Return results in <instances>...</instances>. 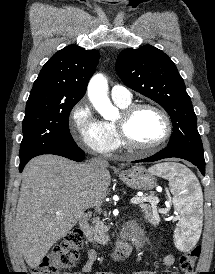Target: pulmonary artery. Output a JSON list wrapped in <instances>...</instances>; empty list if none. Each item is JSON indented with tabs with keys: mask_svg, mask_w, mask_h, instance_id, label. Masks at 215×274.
Segmentation results:
<instances>
[{
	"mask_svg": "<svg viewBox=\"0 0 215 274\" xmlns=\"http://www.w3.org/2000/svg\"><path fill=\"white\" fill-rule=\"evenodd\" d=\"M111 97L114 101L129 102L131 101L130 91L121 85H114L111 89Z\"/></svg>",
	"mask_w": 215,
	"mask_h": 274,
	"instance_id": "1",
	"label": "pulmonary artery"
}]
</instances>
